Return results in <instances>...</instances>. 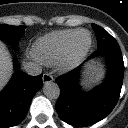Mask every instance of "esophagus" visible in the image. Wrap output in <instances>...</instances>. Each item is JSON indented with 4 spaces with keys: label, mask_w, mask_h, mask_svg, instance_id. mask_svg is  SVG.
Here are the masks:
<instances>
[{
    "label": "esophagus",
    "mask_w": 128,
    "mask_h": 128,
    "mask_svg": "<svg viewBox=\"0 0 128 128\" xmlns=\"http://www.w3.org/2000/svg\"><path fill=\"white\" fill-rule=\"evenodd\" d=\"M51 82H53V77L48 73L43 74V83L47 84Z\"/></svg>",
    "instance_id": "obj_1"
}]
</instances>
